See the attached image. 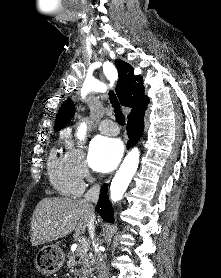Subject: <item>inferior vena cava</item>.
Returning <instances> with one entry per match:
<instances>
[{
  "label": "inferior vena cava",
  "instance_id": "inferior-vena-cava-1",
  "mask_svg": "<svg viewBox=\"0 0 221 278\" xmlns=\"http://www.w3.org/2000/svg\"><path fill=\"white\" fill-rule=\"evenodd\" d=\"M99 192H100V186L99 184H95L92 186L84 195V202L89 204V207L93 210V206L90 204V202L96 203L99 198ZM95 216L94 213H92V216L88 223V232L92 239V243L95 247V254L92 257L93 265L96 266L98 271V278H109V269L106 266L102 254L98 251L97 246L95 245Z\"/></svg>",
  "mask_w": 221,
  "mask_h": 278
}]
</instances>
